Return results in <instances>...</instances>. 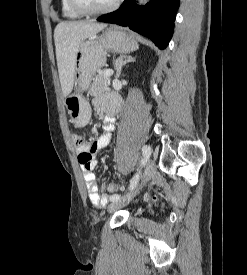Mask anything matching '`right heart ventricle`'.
Instances as JSON below:
<instances>
[{"label":"right heart ventricle","mask_w":247,"mask_h":275,"mask_svg":"<svg viewBox=\"0 0 247 275\" xmlns=\"http://www.w3.org/2000/svg\"><path fill=\"white\" fill-rule=\"evenodd\" d=\"M63 15L67 18H79L80 14L75 12L69 5L68 0H61Z\"/></svg>","instance_id":"1"}]
</instances>
